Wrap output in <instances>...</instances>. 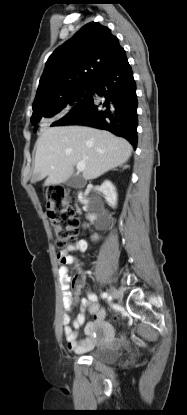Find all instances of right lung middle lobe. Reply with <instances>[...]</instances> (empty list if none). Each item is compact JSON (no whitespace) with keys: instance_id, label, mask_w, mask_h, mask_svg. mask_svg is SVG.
I'll return each mask as SVG.
<instances>
[{"instance_id":"right-lung-middle-lobe-1","label":"right lung middle lobe","mask_w":187,"mask_h":415,"mask_svg":"<svg viewBox=\"0 0 187 415\" xmlns=\"http://www.w3.org/2000/svg\"><path fill=\"white\" fill-rule=\"evenodd\" d=\"M91 91L92 83L74 88L57 102L33 108V114L31 116L32 124L36 125L45 118H51L71 106H76L80 101L87 98L91 94Z\"/></svg>"}]
</instances>
